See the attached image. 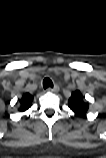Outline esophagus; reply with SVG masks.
I'll use <instances>...</instances> for the list:
<instances>
[{
  "label": "esophagus",
  "mask_w": 106,
  "mask_h": 158,
  "mask_svg": "<svg viewBox=\"0 0 106 158\" xmlns=\"http://www.w3.org/2000/svg\"><path fill=\"white\" fill-rule=\"evenodd\" d=\"M48 91L57 93L59 91V86L56 84L53 88H48Z\"/></svg>",
  "instance_id": "1"
}]
</instances>
